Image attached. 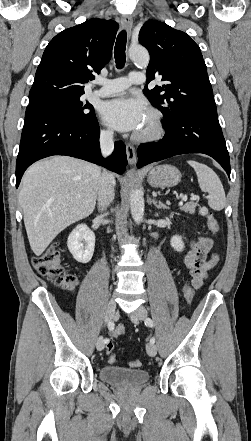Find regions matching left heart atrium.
Wrapping results in <instances>:
<instances>
[{"label": "left heart atrium", "mask_w": 251, "mask_h": 441, "mask_svg": "<svg viewBox=\"0 0 251 441\" xmlns=\"http://www.w3.org/2000/svg\"><path fill=\"white\" fill-rule=\"evenodd\" d=\"M100 113L118 131L139 132L147 118V107L140 98L122 96L104 102Z\"/></svg>", "instance_id": "obj_1"}]
</instances>
